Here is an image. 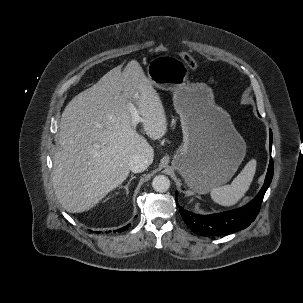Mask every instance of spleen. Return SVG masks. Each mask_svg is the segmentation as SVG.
I'll use <instances>...</instances> for the list:
<instances>
[{
  "instance_id": "3e777b00",
  "label": "spleen",
  "mask_w": 303,
  "mask_h": 303,
  "mask_svg": "<svg viewBox=\"0 0 303 303\" xmlns=\"http://www.w3.org/2000/svg\"><path fill=\"white\" fill-rule=\"evenodd\" d=\"M256 160H250L230 185L215 187L211 198L222 206L235 205L248 191L256 171Z\"/></svg>"
}]
</instances>
